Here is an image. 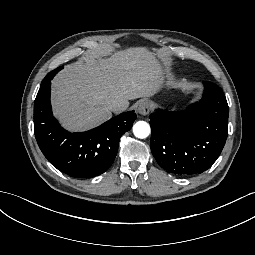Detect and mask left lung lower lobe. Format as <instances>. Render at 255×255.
Returning <instances> with one entry per match:
<instances>
[{"label": "left lung lower lobe", "instance_id": "left-lung-lower-lobe-1", "mask_svg": "<svg viewBox=\"0 0 255 255\" xmlns=\"http://www.w3.org/2000/svg\"><path fill=\"white\" fill-rule=\"evenodd\" d=\"M200 102L186 112L150 114V147L157 163L175 175L200 174L219 157L228 136L229 108L222 89L205 82Z\"/></svg>", "mask_w": 255, "mask_h": 255}]
</instances>
